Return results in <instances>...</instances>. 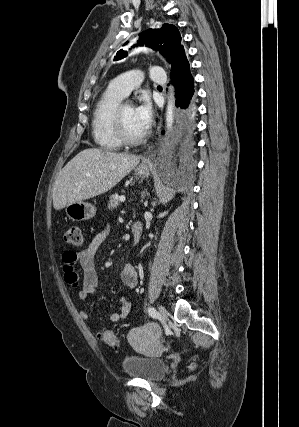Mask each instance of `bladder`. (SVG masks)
<instances>
[{
	"label": "bladder",
	"mask_w": 299,
	"mask_h": 427,
	"mask_svg": "<svg viewBox=\"0 0 299 427\" xmlns=\"http://www.w3.org/2000/svg\"><path fill=\"white\" fill-rule=\"evenodd\" d=\"M124 372L131 377L155 381L167 372V364L153 356H125L122 358Z\"/></svg>",
	"instance_id": "bladder-1"
}]
</instances>
